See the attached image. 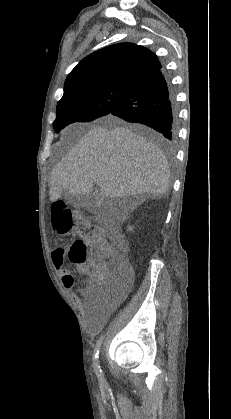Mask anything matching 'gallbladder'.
I'll list each match as a JSON object with an SVG mask.
<instances>
[{"instance_id": "obj_1", "label": "gallbladder", "mask_w": 231, "mask_h": 419, "mask_svg": "<svg viewBox=\"0 0 231 419\" xmlns=\"http://www.w3.org/2000/svg\"><path fill=\"white\" fill-rule=\"evenodd\" d=\"M97 194L98 190H95L94 192H90L87 196H77L71 193H66L65 198L69 200L71 204L77 207L85 206L86 203H94L97 200Z\"/></svg>"}]
</instances>
